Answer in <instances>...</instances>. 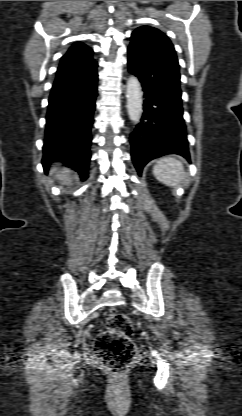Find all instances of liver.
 Instances as JSON below:
<instances>
[{
    "mask_svg": "<svg viewBox=\"0 0 242 416\" xmlns=\"http://www.w3.org/2000/svg\"><path fill=\"white\" fill-rule=\"evenodd\" d=\"M51 174L55 175V177L63 184V185H71L73 181V173L68 168H59L55 167L52 169Z\"/></svg>",
    "mask_w": 242,
    "mask_h": 416,
    "instance_id": "6515ba94",
    "label": "liver"
}]
</instances>
